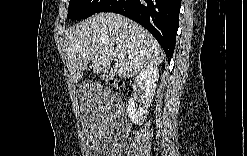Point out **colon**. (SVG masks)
Here are the masks:
<instances>
[{
	"instance_id": "colon-1",
	"label": "colon",
	"mask_w": 247,
	"mask_h": 156,
	"mask_svg": "<svg viewBox=\"0 0 247 156\" xmlns=\"http://www.w3.org/2000/svg\"><path fill=\"white\" fill-rule=\"evenodd\" d=\"M106 81L112 87L118 88L121 86V82L116 78L109 77L106 79Z\"/></svg>"
}]
</instances>
